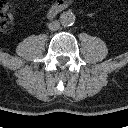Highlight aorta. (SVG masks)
I'll return each instance as SVG.
<instances>
[{
  "label": "aorta",
  "instance_id": "762f6f07",
  "mask_svg": "<svg viewBox=\"0 0 128 128\" xmlns=\"http://www.w3.org/2000/svg\"><path fill=\"white\" fill-rule=\"evenodd\" d=\"M60 23L64 27L72 26L75 22V16L71 11H65L60 15Z\"/></svg>",
  "mask_w": 128,
  "mask_h": 128
}]
</instances>
